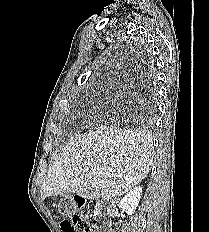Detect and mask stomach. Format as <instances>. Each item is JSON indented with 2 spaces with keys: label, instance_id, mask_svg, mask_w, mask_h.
<instances>
[{
  "label": "stomach",
  "instance_id": "stomach-1",
  "mask_svg": "<svg viewBox=\"0 0 209 232\" xmlns=\"http://www.w3.org/2000/svg\"><path fill=\"white\" fill-rule=\"evenodd\" d=\"M74 198H61L57 201L59 214H66L67 218L71 217V214H77L78 210L74 206Z\"/></svg>",
  "mask_w": 209,
  "mask_h": 232
}]
</instances>
